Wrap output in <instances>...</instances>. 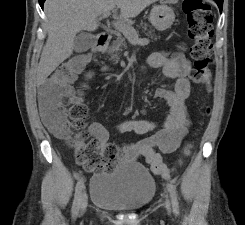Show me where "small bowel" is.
Listing matches in <instances>:
<instances>
[{
    "label": "small bowel",
    "instance_id": "1",
    "mask_svg": "<svg viewBox=\"0 0 245 225\" xmlns=\"http://www.w3.org/2000/svg\"><path fill=\"white\" fill-rule=\"evenodd\" d=\"M147 67L163 68V74L175 81L170 88L160 87L155 94L158 99L164 100L169 112L166 118L158 124L150 119L127 118L120 121L116 129L120 132H133L148 136L126 145V157L130 161L143 160L154 174V159L161 160L160 153L168 154L177 150L180 142L188 135L191 121L187 114L186 100L191 92L189 79L190 62L181 52L154 51L149 54L140 67L144 71ZM38 101L42 106V119L47 126H54L57 121V101L45 90L38 93ZM89 130L100 148L108 142L110 133L100 122H92Z\"/></svg>",
    "mask_w": 245,
    "mask_h": 225
}]
</instances>
